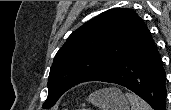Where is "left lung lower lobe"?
Segmentation results:
<instances>
[{
    "label": "left lung lower lobe",
    "instance_id": "left-lung-lower-lobe-1",
    "mask_svg": "<svg viewBox=\"0 0 171 110\" xmlns=\"http://www.w3.org/2000/svg\"><path fill=\"white\" fill-rule=\"evenodd\" d=\"M165 70L151 33L117 65L93 81L122 85L154 110H166Z\"/></svg>",
    "mask_w": 171,
    "mask_h": 110
}]
</instances>
